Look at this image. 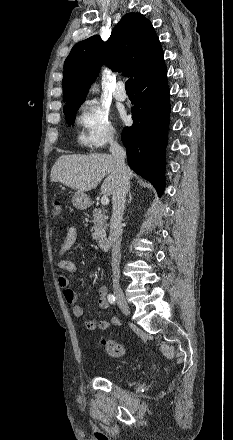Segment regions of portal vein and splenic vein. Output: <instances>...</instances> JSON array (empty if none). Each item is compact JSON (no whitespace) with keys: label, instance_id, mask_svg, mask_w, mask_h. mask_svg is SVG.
Masks as SVG:
<instances>
[{"label":"portal vein and splenic vein","instance_id":"obj_1","mask_svg":"<svg viewBox=\"0 0 233 440\" xmlns=\"http://www.w3.org/2000/svg\"><path fill=\"white\" fill-rule=\"evenodd\" d=\"M108 203H109V198H108V196H107V195H103L102 198H101V204H102L103 206H105V205H108Z\"/></svg>","mask_w":233,"mask_h":440}]
</instances>
